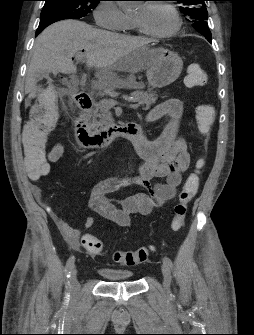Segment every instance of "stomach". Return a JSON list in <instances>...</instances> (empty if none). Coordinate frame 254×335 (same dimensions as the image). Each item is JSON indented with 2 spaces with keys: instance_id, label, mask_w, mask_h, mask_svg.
Segmentation results:
<instances>
[{
  "instance_id": "1",
  "label": "stomach",
  "mask_w": 254,
  "mask_h": 335,
  "mask_svg": "<svg viewBox=\"0 0 254 335\" xmlns=\"http://www.w3.org/2000/svg\"><path fill=\"white\" fill-rule=\"evenodd\" d=\"M153 62L146 76L151 88H163L178 79L183 61L177 53L164 48L150 49Z\"/></svg>"
}]
</instances>
